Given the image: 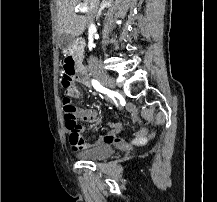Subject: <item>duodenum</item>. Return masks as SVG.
I'll list each match as a JSON object with an SVG mask.
<instances>
[{
	"instance_id": "duodenum-1",
	"label": "duodenum",
	"mask_w": 217,
	"mask_h": 202,
	"mask_svg": "<svg viewBox=\"0 0 217 202\" xmlns=\"http://www.w3.org/2000/svg\"><path fill=\"white\" fill-rule=\"evenodd\" d=\"M83 45L76 42L72 48L64 50V70L65 73L75 81L89 86V76L82 63Z\"/></svg>"
}]
</instances>
